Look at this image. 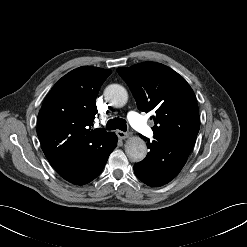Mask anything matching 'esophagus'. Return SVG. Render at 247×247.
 I'll return each mask as SVG.
<instances>
[{"mask_svg": "<svg viewBox=\"0 0 247 247\" xmlns=\"http://www.w3.org/2000/svg\"><path fill=\"white\" fill-rule=\"evenodd\" d=\"M116 134H117V136H118L120 139H126V138H128V137L130 136L129 133L123 132V131H120V130H117V131H116Z\"/></svg>", "mask_w": 247, "mask_h": 247, "instance_id": "1", "label": "esophagus"}]
</instances>
